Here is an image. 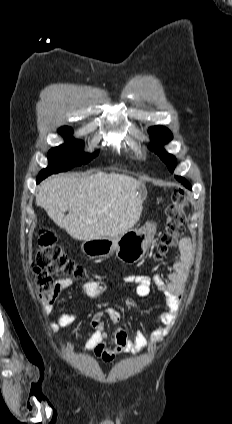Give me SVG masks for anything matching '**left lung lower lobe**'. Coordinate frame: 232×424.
<instances>
[{"mask_svg":"<svg viewBox=\"0 0 232 424\" xmlns=\"http://www.w3.org/2000/svg\"><path fill=\"white\" fill-rule=\"evenodd\" d=\"M178 181H180L185 187L191 189L190 183L187 180H185L184 178H179Z\"/></svg>","mask_w":232,"mask_h":424,"instance_id":"0a47b994","label":"left lung lower lobe"}]
</instances>
